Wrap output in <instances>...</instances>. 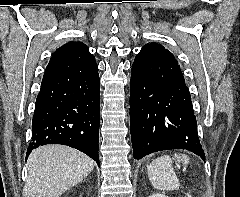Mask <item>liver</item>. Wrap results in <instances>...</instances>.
I'll use <instances>...</instances> for the list:
<instances>
[{
	"label": "liver",
	"mask_w": 240,
	"mask_h": 197,
	"mask_svg": "<svg viewBox=\"0 0 240 197\" xmlns=\"http://www.w3.org/2000/svg\"><path fill=\"white\" fill-rule=\"evenodd\" d=\"M95 162L64 145H44L28 157L24 197H59L87 177Z\"/></svg>",
	"instance_id": "1"
}]
</instances>
